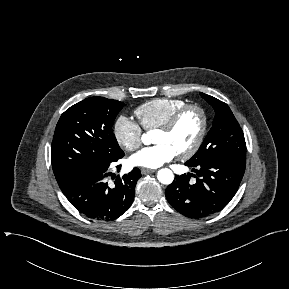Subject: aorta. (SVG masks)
<instances>
[{"instance_id": "aorta-1", "label": "aorta", "mask_w": 289, "mask_h": 289, "mask_svg": "<svg viewBox=\"0 0 289 289\" xmlns=\"http://www.w3.org/2000/svg\"><path fill=\"white\" fill-rule=\"evenodd\" d=\"M150 141V138L147 134L142 135V142L144 144H148ZM157 179L160 183L169 185L174 180V174L173 172L168 168H162L157 173Z\"/></svg>"}]
</instances>
